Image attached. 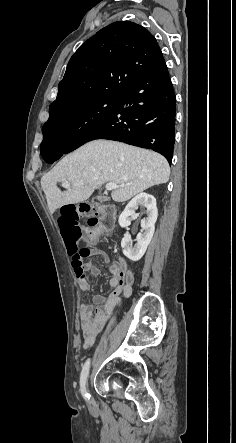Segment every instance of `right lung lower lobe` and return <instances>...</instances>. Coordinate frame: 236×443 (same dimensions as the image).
I'll return each instance as SVG.
<instances>
[{"instance_id":"98d812e1","label":"right lung lower lobe","mask_w":236,"mask_h":443,"mask_svg":"<svg viewBox=\"0 0 236 443\" xmlns=\"http://www.w3.org/2000/svg\"><path fill=\"white\" fill-rule=\"evenodd\" d=\"M125 107L124 109H121ZM175 93L163 56L136 79L112 108L67 146H46L42 158L53 163L94 139L122 141L152 149L171 164L175 139Z\"/></svg>"}]
</instances>
